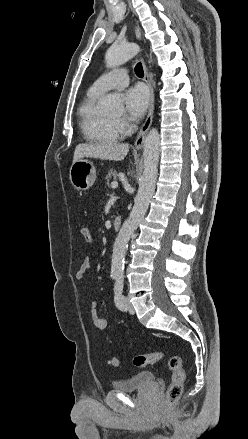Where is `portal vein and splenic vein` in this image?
Here are the masks:
<instances>
[{
    "instance_id": "obj_1",
    "label": "portal vein and splenic vein",
    "mask_w": 248,
    "mask_h": 439,
    "mask_svg": "<svg viewBox=\"0 0 248 439\" xmlns=\"http://www.w3.org/2000/svg\"><path fill=\"white\" fill-rule=\"evenodd\" d=\"M111 187H112L113 189L117 188V187H118V182H117V181H113V182L111 183Z\"/></svg>"
}]
</instances>
